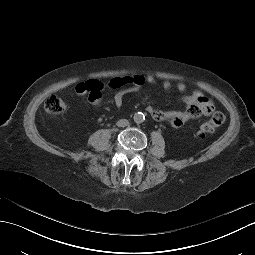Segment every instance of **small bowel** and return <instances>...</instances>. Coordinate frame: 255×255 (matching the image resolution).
I'll return each instance as SVG.
<instances>
[{
	"label": "small bowel",
	"instance_id": "obj_1",
	"mask_svg": "<svg viewBox=\"0 0 255 255\" xmlns=\"http://www.w3.org/2000/svg\"><path fill=\"white\" fill-rule=\"evenodd\" d=\"M156 82L153 76L145 77L142 75H135L114 77L106 84L98 80L79 82L76 84L74 91L77 95H87L90 103L98 104L104 89L116 90L114 104L116 107H121L126 94L137 91L145 83L155 84ZM161 86L163 89L168 90L171 88L172 84L170 81L164 80ZM176 89L182 93L186 90V85L180 82L176 85ZM184 103L186 108L183 111L165 112L151 106H148L146 110L154 120L167 122L173 128H179L188 120L199 118L202 115L209 116L214 111L213 102L199 91H194L185 96Z\"/></svg>",
	"mask_w": 255,
	"mask_h": 255
}]
</instances>
